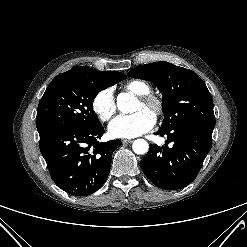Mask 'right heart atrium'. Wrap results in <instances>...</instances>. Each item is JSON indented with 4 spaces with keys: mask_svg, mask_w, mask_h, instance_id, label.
Returning a JSON list of instances; mask_svg holds the SVG:
<instances>
[{
    "mask_svg": "<svg viewBox=\"0 0 247 247\" xmlns=\"http://www.w3.org/2000/svg\"><path fill=\"white\" fill-rule=\"evenodd\" d=\"M92 109L100 121L108 122L112 119L117 110L112 88H103L95 94Z\"/></svg>",
    "mask_w": 247,
    "mask_h": 247,
    "instance_id": "1",
    "label": "right heart atrium"
}]
</instances>
